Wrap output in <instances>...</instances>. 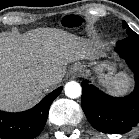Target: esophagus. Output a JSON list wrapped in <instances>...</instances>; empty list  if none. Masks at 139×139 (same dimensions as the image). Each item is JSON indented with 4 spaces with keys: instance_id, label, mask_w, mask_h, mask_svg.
Masks as SVG:
<instances>
[{
    "instance_id": "1",
    "label": "esophagus",
    "mask_w": 139,
    "mask_h": 139,
    "mask_svg": "<svg viewBox=\"0 0 139 139\" xmlns=\"http://www.w3.org/2000/svg\"><path fill=\"white\" fill-rule=\"evenodd\" d=\"M81 72V68L80 67H75V68H73V70H72V74L73 75H76V74H78V73H80Z\"/></svg>"
}]
</instances>
